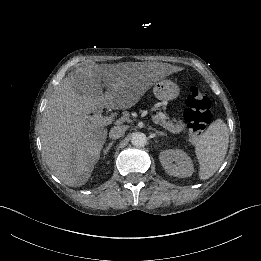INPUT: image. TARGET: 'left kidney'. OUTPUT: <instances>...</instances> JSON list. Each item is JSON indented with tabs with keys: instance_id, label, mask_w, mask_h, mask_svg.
<instances>
[{
	"instance_id": "obj_1",
	"label": "left kidney",
	"mask_w": 261,
	"mask_h": 261,
	"mask_svg": "<svg viewBox=\"0 0 261 261\" xmlns=\"http://www.w3.org/2000/svg\"><path fill=\"white\" fill-rule=\"evenodd\" d=\"M159 160L165 171L175 177L185 178L194 172L191 158L180 149H169L160 152Z\"/></svg>"
}]
</instances>
